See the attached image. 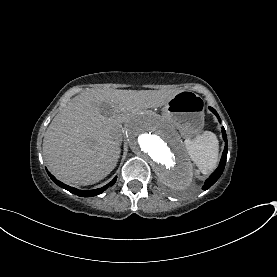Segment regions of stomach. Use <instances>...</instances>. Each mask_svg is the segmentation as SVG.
I'll use <instances>...</instances> for the list:
<instances>
[{
  "mask_svg": "<svg viewBox=\"0 0 277 277\" xmlns=\"http://www.w3.org/2000/svg\"><path fill=\"white\" fill-rule=\"evenodd\" d=\"M203 108V101L197 94L182 90L164 105L162 115L184 137L191 138L198 135L204 126Z\"/></svg>",
  "mask_w": 277,
  "mask_h": 277,
  "instance_id": "stomach-1",
  "label": "stomach"
}]
</instances>
